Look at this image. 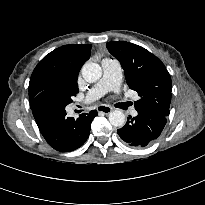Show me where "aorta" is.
<instances>
[{
    "label": "aorta",
    "instance_id": "1",
    "mask_svg": "<svg viewBox=\"0 0 205 205\" xmlns=\"http://www.w3.org/2000/svg\"><path fill=\"white\" fill-rule=\"evenodd\" d=\"M82 76L89 83L96 82L102 76V68L97 63L87 62L82 67ZM125 121L126 117L122 111L114 110L109 113V122L111 125L122 127Z\"/></svg>",
    "mask_w": 205,
    "mask_h": 205
}]
</instances>
